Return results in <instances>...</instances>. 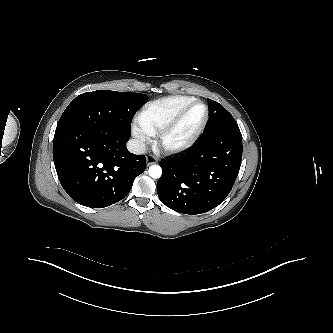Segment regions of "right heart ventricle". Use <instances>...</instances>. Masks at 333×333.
I'll return each mask as SVG.
<instances>
[{
	"instance_id": "1",
	"label": "right heart ventricle",
	"mask_w": 333,
	"mask_h": 333,
	"mask_svg": "<svg viewBox=\"0 0 333 333\" xmlns=\"http://www.w3.org/2000/svg\"><path fill=\"white\" fill-rule=\"evenodd\" d=\"M191 96L174 95L147 103L137 117V123L148 135H156L187 104L194 101Z\"/></svg>"
}]
</instances>
